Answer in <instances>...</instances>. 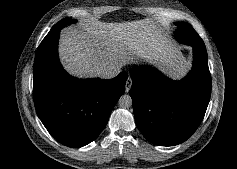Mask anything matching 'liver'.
<instances>
[{
	"instance_id": "1",
	"label": "liver",
	"mask_w": 237,
	"mask_h": 169,
	"mask_svg": "<svg viewBox=\"0 0 237 169\" xmlns=\"http://www.w3.org/2000/svg\"><path fill=\"white\" fill-rule=\"evenodd\" d=\"M134 55L150 61L165 59V41L153 23L130 27L88 23L61 34V60L67 71L77 77H97L103 68L120 66Z\"/></svg>"
}]
</instances>
